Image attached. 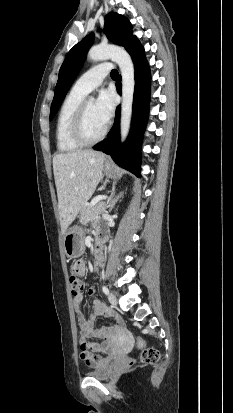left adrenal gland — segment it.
Returning a JSON list of instances; mask_svg holds the SVG:
<instances>
[{"instance_id": "a2214340", "label": "left adrenal gland", "mask_w": 233, "mask_h": 413, "mask_svg": "<svg viewBox=\"0 0 233 413\" xmlns=\"http://www.w3.org/2000/svg\"><path fill=\"white\" fill-rule=\"evenodd\" d=\"M123 196V192H121L119 195L115 196V192L111 195V197L108 199L107 204L109 207V211H112L114 208L115 203L118 201L119 198Z\"/></svg>"}]
</instances>
